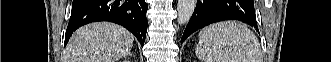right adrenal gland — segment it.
Here are the masks:
<instances>
[{
    "mask_svg": "<svg viewBox=\"0 0 331 62\" xmlns=\"http://www.w3.org/2000/svg\"><path fill=\"white\" fill-rule=\"evenodd\" d=\"M129 56H133V54L132 53H129Z\"/></svg>",
    "mask_w": 331,
    "mask_h": 62,
    "instance_id": "2a0ac1e0",
    "label": "right adrenal gland"
}]
</instances>
